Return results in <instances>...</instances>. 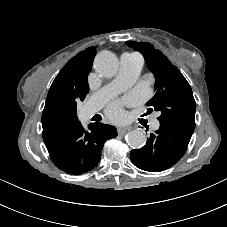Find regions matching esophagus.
Instances as JSON below:
<instances>
[{
	"instance_id": "1",
	"label": "esophagus",
	"mask_w": 227,
	"mask_h": 227,
	"mask_svg": "<svg viewBox=\"0 0 227 227\" xmlns=\"http://www.w3.org/2000/svg\"><path fill=\"white\" fill-rule=\"evenodd\" d=\"M128 128H126V127H119L118 129H117V132H118V134L119 135H124L125 133H127L128 132Z\"/></svg>"
}]
</instances>
